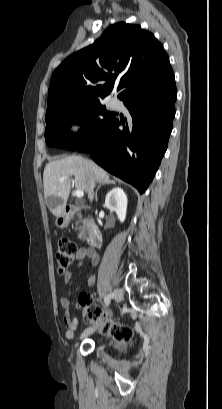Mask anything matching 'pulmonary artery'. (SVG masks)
Masks as SVG:
<instances>
[{
    "label": "pulmonary artery",
    "instance_id": "e3ab8cb5",
    "mask_svg": "<svg viewBox=\"0 0 222 409\" xmlns=\"http://www.w3.org/2000/svg\"><path fill=\"white\" fill-rule=\"evenodd\" d=\"M109 104H110V106H115L116 105V101L114 100V99H111L110 101H109Z\"/></svg>",
    "mask_w": 222,
    "mask_h": 409
}]
</instances>
